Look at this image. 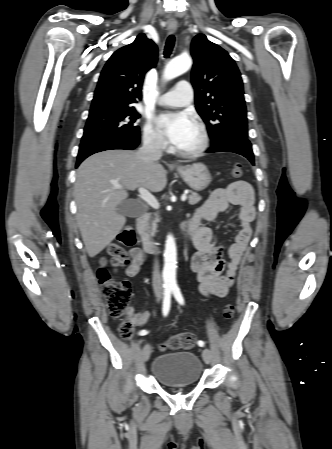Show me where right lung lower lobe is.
Listing matches in <instances>:
<instances>
[{
  "mask_svg": "<svg viewBox=\"0 0 332 449\" xmlns=\"http://www.w3.org/2000/svg\"><path fill=\"white\" fill-rule=\"evenodd\" d=\"M140 142V137L125 139L118 137H102L81 142L77 156L76 167L88 156L110 149H135Z\"/></svg>",
  "mask_w": 332,
  "mask_h": 449,
  "instance_id": "obj_1",
  "label": "right lung lower lobe"
}]
</instances>
